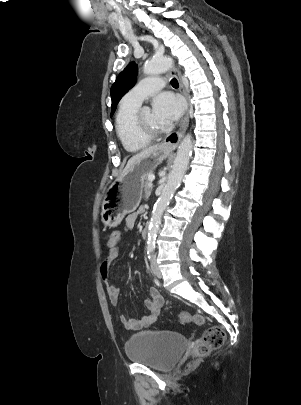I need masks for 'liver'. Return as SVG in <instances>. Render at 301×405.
<instances>
[{"label": "liver", "mask_w": 301, "mask_h": 405, "mask_svg": "<svg viewBox=\"0 0 301 405\" xmlns=\"http://www.w3.org/2000/svg\"><path fill=\"white\" fill-rule=\"evenodd\" d=\"M160 145H153V146H149L148 148H145L144 150H142L141 152H139L138 154L132 156L129 161L127 162L126 167L124 168L122 174L120 177H122L130 168L131 166L137 162L138 160L144 158L145 156H147L148 154H150L152 151H154L155 149H157ZM119 177V178H120Z\"/></svg>", "instance_id": "1"}]
</instances>
